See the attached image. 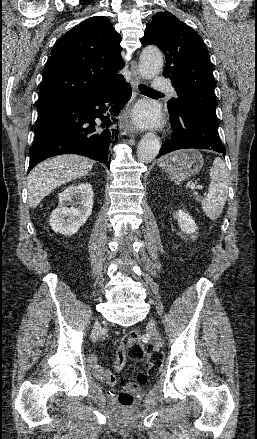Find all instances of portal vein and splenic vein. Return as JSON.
<instances>
[{"mask_svg":"<svg viewBox=\"0 0 257 439\" xmlns=\"http://www.w3.org/2000/svg\"><path fill=\"white\" fill-rule=\"evenodd\" d=\"M191 188H192V189L196 188V189H198V190H201V189H203V186H201V185H197V186H195L194 183H191Z\"/></svg>","mask_w":257,"mask_h":439,"instance_id":"portal-vein-and-splenic-vein-1","label":"portal vein and splenic vein"}]
</instances>
